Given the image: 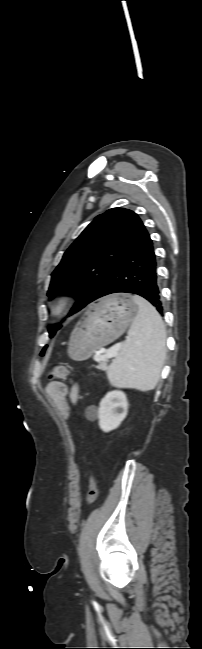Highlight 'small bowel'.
<instances>
[{
  "instance_id": "c3829d8e",
  "label": "small bowel",
  "mask_w": 202,
  "mask_h": 649,
  "mask_svg": "<svg viewBox=\"0 0 202 649\" xmlns=\"http://www.w3.org/2000/svg\"><path fill=\"white\" fill-rule=\"evenodd\" d=\"M46 392L51 400L52 406L64 417L70 414V404L75 403L78 398V386L71 389L59 381H51L46 386ZM93 410V409H92Z\"/></svg>"
}]
</instances>
